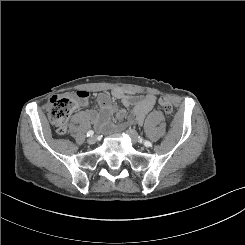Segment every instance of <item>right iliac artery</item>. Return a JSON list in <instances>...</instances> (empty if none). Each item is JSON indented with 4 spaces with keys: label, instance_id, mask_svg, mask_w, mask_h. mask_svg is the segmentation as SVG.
<instances>
[{
    "label": "right iliac artery",
    "instance_id": "1",
    "mask_svg": "<svg viewBox=\"0 0 245 245\" xmlns=\"http://www.w3.org/2000/svg\"><path fill=\"white\" fill-rule=\"evenodd\" d=\"M94 134V131L90 130L87 132V136H92Z\"/></svg>",
    "mask_w": 245,
    "mask_h": 245
}]
</instances>
